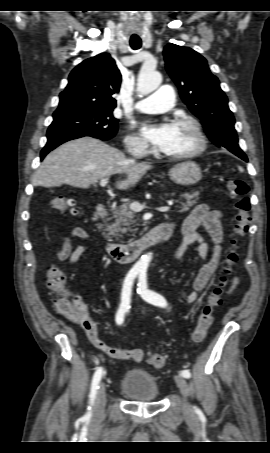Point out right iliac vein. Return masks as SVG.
Instances as JSON below:
<instances>
[{
    "label": "right iliac vein",
    "mask_w": 270,
    "mask_h": 453,
    "mask_svg": "<svg viewBox=\"0 0 270 453\" xmlns=\"http://www.w3.org/2000/svg\"><path fill=\"white\" fill-rule=\"evenodd\" d=\"M106 404V386L103 382L100 383L97 392V399L94 407V414L97 417L102 416Z\"/></svg>",
    "instance_id": "right-iliac-vein-1"
}]
</instances>
